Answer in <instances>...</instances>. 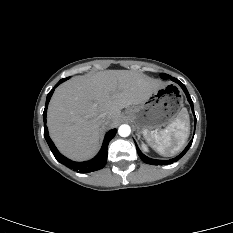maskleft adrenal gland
I'll list each match as a JSON object with an SVG mask.
<instances>
[{"label": "left adrenal gland", "instance_id": "1", "mask_svg": "<svg viewBox=\"0 0 233 233\" xmlns=\"http://www.w3.org/2000/svg\"><path fill=\"white\" fill-rule=\"evenodd\" d=\"M137 136H138V138L140 139V134H138Z\"/></svg>", "mask_w": 233, "mask_h": 233}]
</instances>
